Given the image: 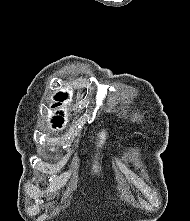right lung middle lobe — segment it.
<instances>
[{
	"label": "right lung middle lobe",
	"mask_w": 190,
	"mask_h": 221,
	"mask_svg": "<svg viewBox=\"0 0 190 221\" xmlns=\"http://www.w3.org/2000/svg\"><path fill=\"white\" fill-rule=\"evenodd\" d=\"M53 123H54V127H60L62 124V123H55V122H53Z\"/></svg>",
	"instance_id": "obj_1"
}]
</instances>
